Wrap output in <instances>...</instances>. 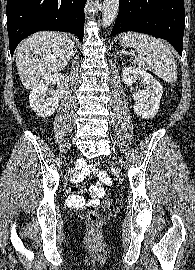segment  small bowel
Masks as SVG:
<instances>
[{
  "label": "small bowel",
  "instance_id": "small-bowel-1",
  "mask_svg": "<svg viewBox=\"0 0 195 270\" xmlns=\"http://www.w3.org/2000/svg\"><path fill=\"white\" fill-rule=\"evenodd\" d=\"M91 174L97 176L98 181L90 187L91 197L85 200L80 194L82 187L73 186L70 189V194L66 200L68 206L73 208H81L84 206L95 207L99 205L100 199L105 196L104 186L111 184V179L107 173L101 169L96 168L93 165L85 164L83 161H79L76 168L77 180L83 179Z\"/></svg>",
  "mask_w": 195,
  "mask_h": 270
}]
</instances>
